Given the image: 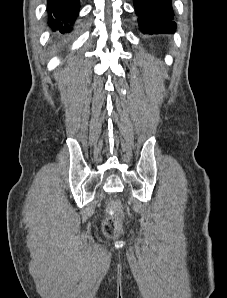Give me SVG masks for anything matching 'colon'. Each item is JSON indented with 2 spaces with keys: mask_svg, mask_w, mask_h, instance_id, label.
I'll use <instances>...</instances> for the list:
<instances>
[{
  "mask_svg": "<svg viewBox=\"0 0 227 298\" xmlns=\"http://www.w3.org/2000/svg\"><path fill=\"white\" fill-rule=\"evenodd\" d=\"M122 232V214L118 208L109 210L103 224V233L109 239H114Z\"/></svg>",
  "mask_w": 227,
  "mask_h": 298,
  "instance_id": "1",
  "label": "colon"
}]
</instances>
